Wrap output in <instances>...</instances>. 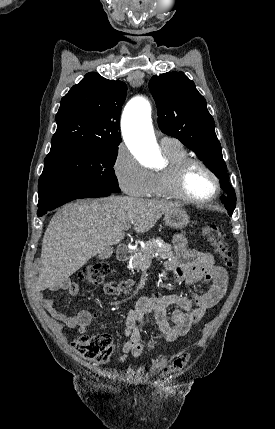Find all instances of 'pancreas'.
Returning <instances> with one entry per match:
<instances>
[{
  "label": "pancreas",
  "instance_id": "obj_1",
  "mask_svg": "<svg viewBox=\"0 0 275 429\" xmlns=\"http://www.w3.org/2000/svg\"><path fill=\"white\" fill-rule=\"evenodd\" d=\"M155 253L161 258H170L173 256V251L170 244L163 243L159 246L155 240H149L145 243L143 249L139 250L131 260V265L134 269H142L149 267L152 263V259L155 257Z\"/></svg>",
  "mask_w": 275,
  "mask_h": 429
}]
</instances>
